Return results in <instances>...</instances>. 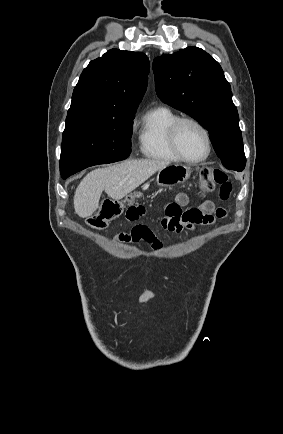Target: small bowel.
I'll return each mask as SVG.
<instances>
[{
    "mask_svg": "<svg viewBox=\"0 0 283 434\" xmlns=\"http://www.w3.org/2000/svg\"><path fill=\"white\" fill-rule=\"evenodd\" d=\"M189 204V197L179 193L175 200L165 204L162 227L171 232H181L184 229L193 230L197 225H211L217 219L225 216L222 208L214 209L212 202L202 200L197 207L184 209ZM146 213L144 205L137 203L131 205L126 211L128 221H137ZM116 240L121 242L147 241L154 250L161 248V242L151 229L145 225H136L129 232L120 233Z\"/></svg>",
    "mask_w": 283,
    "mask_h": 434,
    "instance_id": "small-bowel-1",
    "label": "small bowel"
}]
</instances>
